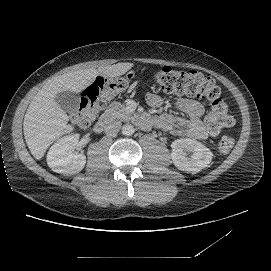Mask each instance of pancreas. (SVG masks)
Segmentation results:
<instances>
[{"mask_svg": "<svg viewBox=\"0 0 271 271\" xmlns=\"http://www.w3.org/2000/svg\"><path fill=\"white\" fill-rule=\"evenodd\" d=\"M105 114L122 121L132 118V115L126 111L125 106L121 103H113L111 107L105 111Z\"/></svg>", "mask_w": 271, "mask_h": 271, "instance_id": "1", "label": "pancreas"}]
</instances>
